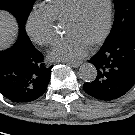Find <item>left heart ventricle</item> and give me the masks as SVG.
Listing matches in <instances>:
<instances>
[{"label":"left heart ventricle","instance_id":"left-heart-ventricle-1","mask_svg":"<svg viewBox=\"0 0 135 135\" xmlns=\"http://www.w3.org/2000/svg\"><path fill=\"white\" fill-rule=\"evenodd\" d=\"M107 12V0H83L77 17L64 22V32L66 35H76L90 45L102 34Z\"/></svg>","mask_w":135,"mask_h":135}]
</instances>
